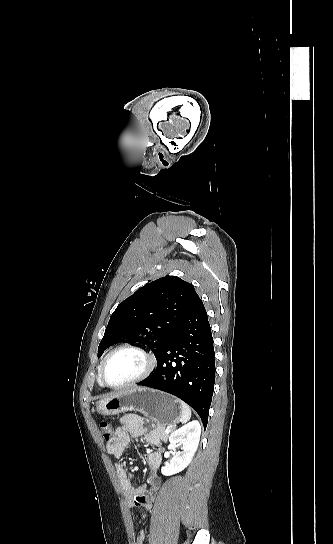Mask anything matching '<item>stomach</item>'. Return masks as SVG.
Segmentation results:
<instances>
[{"instance_id": "0dacf381", "label": "stomach", "mask_w": 333, "mask_h": 544, "mask_svg": "<svg viewBox=\"0 0 333 544\" xmlns=\"http://www.w3.org/2000/svg\"><path fill=\"white\" fill-rule=\"evenodd\" d=\"M98 413L114 415L122 412L138 411L151 418L157 426L177 423L181 416L179 400L173 396L150 388H132L120 391L97 403Z\"/></svg>"}]
</instances>
